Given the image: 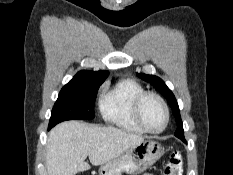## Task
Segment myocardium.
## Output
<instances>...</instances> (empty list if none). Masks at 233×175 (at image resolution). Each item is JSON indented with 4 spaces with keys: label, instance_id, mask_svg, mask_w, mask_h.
<instances>
[{
    "label": "myocardium",
    "instance_id": "f54148a6",
    "mask_svg": "<svg viewBox=\"0 0 233 175\" xmlns=\"http://www.w3.org/2000/svg\"><path fill=\"white\" fill-rule=\"evenodd\" d=\"M148 97H153L156 100H158V102L160 103V105L164 111V114H165V122H164L163 126L158 130L150 129L143 121V118L141 115L142 104H143L144 100ZM133 115H134V118H135L136 122L138 123V125L144 131H146L148 133H152V134H158V133L163 132L166 129V127L169 123V120H170V112H169V108H168L166 101L164 100V98L161 95H159L158 93L153 92V91H144L135 98L134 103H133Z\"/></svg>",
    "mask_w": 233,
    "mask_h": 175
}]
</instances>
